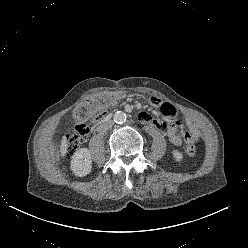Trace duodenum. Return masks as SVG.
Instances as JSON below:
<instances>
[{"instance_id": "1", "label": "duodenum", "mask_w": 248, "mask_h": 248, "mask_svg": "<svg viewBox=\"0 0 248 248\" xmlns=\"http://www.w3.org/2000/svg\"><path fill=\"white\" fill-rule=\"evenodd\" d=\"M106 120V117L101 118L100 123Z\"/></svg>"}]
</instances>
